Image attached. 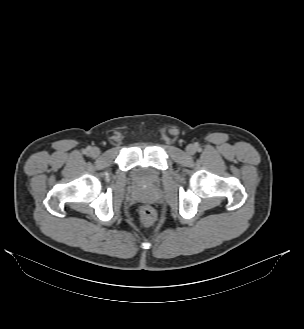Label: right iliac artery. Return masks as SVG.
I'll return each mask as SVG.
<instances>
[{"instance_id": "82829eb1", "label": "right iliac artery", "mask_w": 304, "mask_h": 329, "mask_svg": "<svg viewBox=\"0 0 304 329\" xmlns=\"http://www.w3.org/2000/svg\"><path fill=\"white\" fill-rule=\"evenodd\" d=\"M90 151V147H88L86 150H85V153L89 152Z\"/></svg>"}]
</instances>
